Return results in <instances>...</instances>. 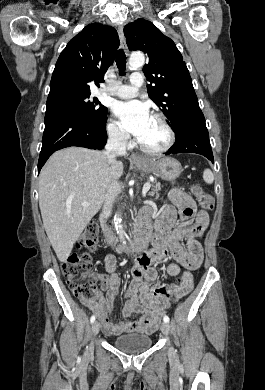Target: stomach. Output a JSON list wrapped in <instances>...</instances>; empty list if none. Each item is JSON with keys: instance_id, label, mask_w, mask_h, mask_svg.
Returning <instances> with one entry per match:
<instances>
[{"instance_id": "obj_1", "label": "stomach", "mask_w": 265, "mask_h": 390, "mask_svg": "<svg viewBox=\"0 0 265 390\" xmlns=\"http://www.w3.org/2000/svg\"><path fill=\"white\" fill-rule=\"evenodd\" d=\"M136 168L153 173L165 180H175L182 172L180 162L171 157L154 160L152 158H145L140 163L135 164Z\"/></svg>"}]
</instances>
